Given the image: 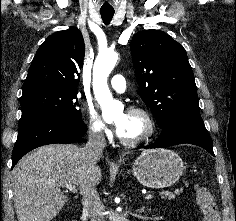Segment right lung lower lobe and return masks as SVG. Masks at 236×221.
<instances>
[{
    "label": "right lung lower lobe",
    "mask_w": 236,
    "mask_h": 221,
    "mask_svg": "<svg viewBox=\"0 0 236 221\" xmlns=\"http://www.w3.org/2000/svg\"><path fill=\"white\" fill-rule=\"evenodd\" d=\"M86 126L82 120L39 114L22 118L17 141L12 153V168L29 151L54 143H73L84 136Z\"/></svg>",
    "instance_id": "98d812e1"
}]
</instances>
